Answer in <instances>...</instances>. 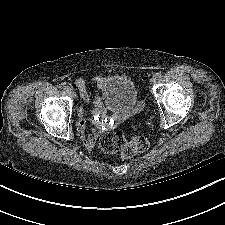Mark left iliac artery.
Instances as JSON below:
<instances>
[{"instance_id":"44dca946","label":"left iliac artery","mask_w":225,"mask_h":225,"mask_svg":"<svg viewBox=\"0 0 225 225\" xmlns=\"http://www.w3.org/2000/svg\"><path fill=\"white\" fill-rule=\"evenodd\" d=\"M162 77V73L158 72L155 74L156 79H160Z\"/></svg>"}]
</instances>
